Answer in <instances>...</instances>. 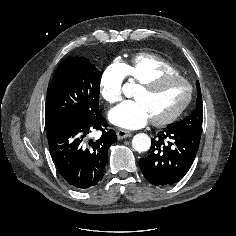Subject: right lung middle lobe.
Here are the masks:
<instances>
[{
  "instance_id": "right-lung-middle-lobe-1",
  "label": "right lung middle lobe",
  "mask_w": 236,
  "mask_h": 236,
  "mask_svg": "<svg viewBox=\"0 0 236 236\" xmlns=\"http://www.w3.org/2000/svg\"><path fill=\"white\" fill-rule=\"evenodd\" d=\"M101 75L85 58L63 61L47 89L46 127L97 113Z\"/></svg>"
}]
</instances>
